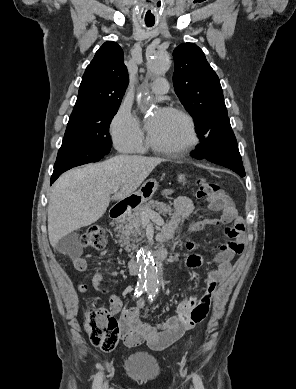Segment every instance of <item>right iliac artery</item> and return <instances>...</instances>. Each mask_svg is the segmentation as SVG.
I'll return each mask as SVG.
<instances>
[{
  "instance_id": "obj_1",
  "label": "right iliac artery",
  "mask_w": 296,
  "mask_h": 389,
  "mask_svg": "<svg viewBox=\"0 0 296 389\" xmlns=\"http://www.w3.org/2000/svg\"><path fill=\"white\" fill-rule=\"evenodd\" d=\"M137 291L135 292L134 295H137V297L142 293L141 289H136ZM102 373L99 372L96 374L94 382H93V389H101L102 385Z\"/></svg>"
}]
</instances>
